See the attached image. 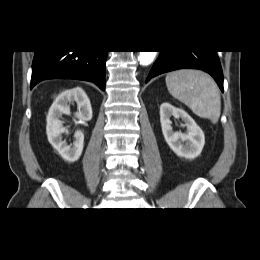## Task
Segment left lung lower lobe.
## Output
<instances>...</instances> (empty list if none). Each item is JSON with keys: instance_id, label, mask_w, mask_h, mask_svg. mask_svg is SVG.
<instances>
[{"instance_id": "1", "label": "left lung lower lobe", "mask_w": 260, "mask_h": 260, "mask_svg": "<svg viewBox=\"0 0 260 260\" xmlns=\"http://www.w3.org/2000/svg\"><path fill=\"white\" fill-rule=\"evenodd\" d=\"M177 69H200L209 73L223 92V72L216 51L170 50L160 51L146 82L152 77Z\"/></svg>"}]
</instances>
